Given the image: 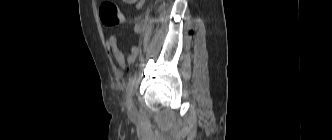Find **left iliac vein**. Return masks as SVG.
<instances>
[{
	"label": "left iliac vein",
	"mask_w": 332,
	"mask_h": 140,
	"mask_svg": "<svg viewBox=\"0 0 332 140\" xmlns=\"http://www.w3.org/2000/svg\"><path fill=\"white\" fill-rule=\"evenodd\" d=\"M127 108L129 112H133L135 110L134 103L132 101V97L130 100L127 102Z\"/></svg>",
	"instance_id": "obj_1"
}]
</instances>
